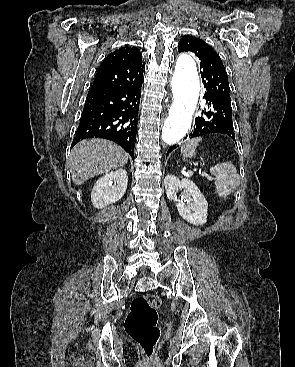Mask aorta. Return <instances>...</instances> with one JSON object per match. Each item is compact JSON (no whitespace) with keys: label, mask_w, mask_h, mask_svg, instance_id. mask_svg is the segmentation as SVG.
Returning a JSON list of instances; mask_svg holds the SVG:
<instances>
[{"label":"aorta","mask_w":295,"mask_h":367,"mask_svg":"<svg viewBox=\"0 0 295 367\" xmlns=\"http://www.w3.org/2000/svg\"><path fill=\"white\" fill-rule=\"evenodd\" d=\"M199 91L200 82L195 61L189 55H180L172 77L173 104L161 134L167 144L179 142L190 130Z\"/></svg>","instance_id":"762f6f07"}]
</instances>
